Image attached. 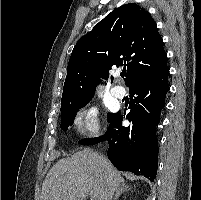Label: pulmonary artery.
<instances>
[{"label":"pulmonary artery","instance_id":"obj_1","mask_svg":"<svg viewBox=\"0 0 201 200\" xmlns=\"http://www.w3.org/2000/svg\"><path fill=\"white\" fill-rule=\"evenodd\" d=\"M111 94H112L114 97H116V98H118V99H121V98H123V97L125 96L126 91H125V89H124L123 87H121V86H115V87H113V88L111 89Z\"/></svg>","mask_w":201,"mask_h":200}]
</instances>
